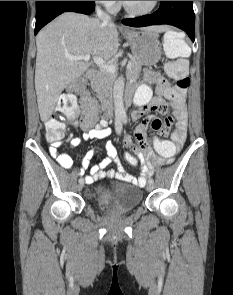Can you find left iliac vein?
I'll return each mask as SVG.
<instances>
[{
    "label": "left iliac vein",
    "instance_id": "4c4485c4",
    "mask_svg": "<svg viewBox=\"0 0 233 295\" xmlns=\"http://www.w3.org/2000/svg\"><path fill=\"white\" fill-rule=\"evenodd\" d=\"M153 188H154L153 184H150V183H148L147 186H146L147 191H152Z\"/></svg>",
    "mask_w": 233,
    "mask_h": 295
}]
</instances>
